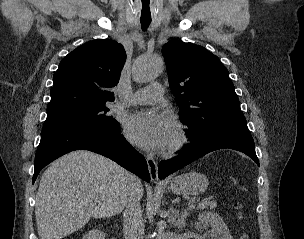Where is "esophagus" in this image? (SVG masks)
Instances as JSON below:
<instances>
[{
    "label": "esophagus",
    "instance_id": "esophagus-1",
    "mask_svg": "<svg viewBox=\"0 0 304 239\" xmlns=\"http://www.w3.org/2000/svg\"><path fill=\"white\" fill-rule=\"evenodd\" d=\"M148 170L151 178V182L160 183L158 179L157 163L152 156L146 157Z\"/></svg>",
    "mask_w": 304,
    "mask_h": 239
}]
</instances>
